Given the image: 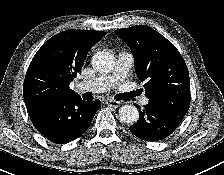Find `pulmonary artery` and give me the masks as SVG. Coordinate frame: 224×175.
Wrapping results in <instances>:
<instances>
[{
	"label": "pulmonary artery",
	"mask_w": 224,
	"mask_h": 175,
	"mask_svg": "<svg viewBox=\"0 0 224 175\" xmlns=\"http://www.w3.org/2000/svg\"><path fill=\"white\" fill-rule=\"evenodd\" d=\"M133 61L134 57L131 53L120 52L117 56L116 66L111 73L82 81L78 84V89L93 93L104 92L111 89L127 76L133 66ZM148 102L149 100L147 98L142 101L143 104H148Z\"/></svg>",
	"instance_id": "e3ab8cb5"
}]
</instances>
